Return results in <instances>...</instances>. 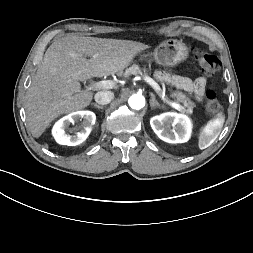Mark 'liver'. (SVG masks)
Wrapping results in <instances>:
<instances>
[{
    "label": "liver",
    "mask_w": 253,
    "mask_h": 253,
    "mask_svg": "<svg viewBox=\"0 0 253 253\" xmlns=\"http://www.w3.org/2000/svg\"><path fill=\"white\" fill-rule=\"evenodd\" d=\"M148 48L140 42L71 35L46 50L26 96L29 129L36 138L58 116L87 107L93 93L79 81L122 74L134 57ZM86 57H90L87 59Z\"/></svg>",
    "instance_id": "6515ba94"
}]
</instances>
